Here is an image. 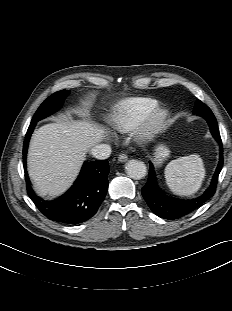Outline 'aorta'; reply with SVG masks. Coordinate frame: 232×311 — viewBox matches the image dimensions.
Wrapping results in <instances>:
<instances>
[{
	"mask_svg": "<svg viewBox=\"0 0 232 311\" xmlns=\"http://www.w3.org/2000/svg\"><path fill=\"white\" fill-rule=\"evenodd\" d=\"M126 173L129 177L133 179H142L143 177L146 176L147 173V168L144 162L139 161V160H129L126 163Z\"/></svg>",
	"mask_w": 232,
	"mask_h": 311,
	"instance_id": "aorta-1",
	"label": "aorta"
}]
</instances>
